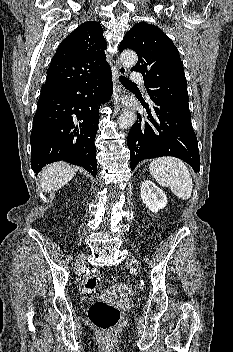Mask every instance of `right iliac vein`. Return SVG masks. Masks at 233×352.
I'll list each match as a JSON object with an SVG mask.
<instances>
[{
  "mask_svg": "<svg viewBox=\"0 0 233 352\" xmlns=\"http://www.w3.org/2000/svg\"><path fill=\"white\" fill-rule=\"evenodd\" d=\"M84 263H85V256L84 254H81L77 257L76 263H75L77 273L79 274L81 273Z\"/></svg>",
  "mask_w": 233,
  "mask_h": 352,
  "instance_id": "1",
  "label": "right iliac vein"
}]
</instances>
